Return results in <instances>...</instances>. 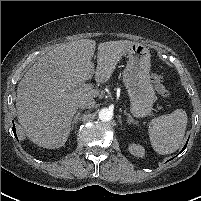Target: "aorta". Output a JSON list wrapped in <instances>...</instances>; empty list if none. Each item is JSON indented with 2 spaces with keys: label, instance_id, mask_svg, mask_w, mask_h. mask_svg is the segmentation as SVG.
<instances>
[{
  "label": "aorta",
  "instance_id": "762f6f07",
  "mask_svg": "<svg viewBox=\"0 0 201 201\" xmlns=\"http://www.w3.org/2000/svg\"><path fill=\"white\" fill-rule=\"evenodd\" d=\"M113 117V112L107 108H103L99 111V119L101 121H110Z\"/></svg>",
  "mask_w": 201,
  "mask_h": 201
}]
</instances>
